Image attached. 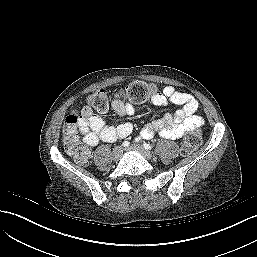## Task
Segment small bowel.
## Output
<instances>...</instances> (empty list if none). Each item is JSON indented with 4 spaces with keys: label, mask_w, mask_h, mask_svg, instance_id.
<instances>
[{
    "label": "small bowel",
    "mask_w": 257,
    "mask_h": 257,
    "mask_svg": "<svg viewBox=\"0 0 257 257\" xmlns=\"http://www.w3.org/2000/svg\"><path fill=\"white\" fill-rule=\"evenodd\" d=\"M168 102L179 105L180 108L148 123L140 133L142 139H151L155 133L167 139H177L202 126V118L195 114L198 103L190 94L167 86L152 98V103L157 106ZM112 107L118 117L131 116L137 112L135 106L123 102L117 94L114 95ZM79 129L87 145L96 146L100 142H114L126 138L133 128L129 122H122L115 126L106 125L101 117L84 108L80 115Z\"/></svg>",
    "instance_id": "1"
}]
</instances>
